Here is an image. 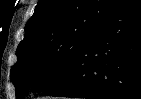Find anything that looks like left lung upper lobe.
<instances>
[{"label":"left lung upper lobe","mask_w":141,"mask_h":99,"mask_svg":"<svg viewBox=\"0 0 141 99\" xmlns=\"http://www.w3.org/2000/svg\"><path fill=\"white\" fill-rule=\"evenodd\" d=\"M120 0H39L18 45L11 68L16 98L36 87L42 92L71 69L80 50Z\"/></svg>","instance_id":"obj_1"}]
</instances>
